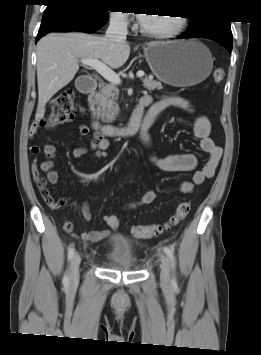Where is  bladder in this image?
<instances>
[{
    "label": "bladder",
    "instance_id": "bladder-1",
    "mask_svg": "<svg viewBox=\"0 0 261 355\" xmlns=\"http://www.w3.org/2000/svg\"><path fill=\"white\" fill-rule=\"evenodd\" d=\"M110 260L119 268L132 270L134 268V247L133 241L123 234L115 233L109 238Z\"/></svg>",
    "mask_w": 261,
    "mask_h": 355
}]
</instances>
